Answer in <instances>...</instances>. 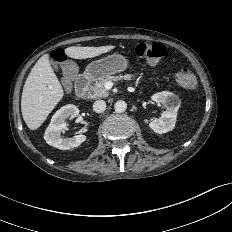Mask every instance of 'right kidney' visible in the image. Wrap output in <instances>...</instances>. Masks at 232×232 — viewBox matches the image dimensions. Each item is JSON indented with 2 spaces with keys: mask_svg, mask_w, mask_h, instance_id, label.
I'll use <instances>...</instances> for the list:
<instances>
[{
  "mask_svg": "<svg viewBox=\"0 0 232 232\" xmlns=\"http://www.w3.org/2000/svg\"><path fill=\"white\" fill-rule=\"evenodd\" d=\"M79 114V109L72 104H68L59 109L51 119L47 127L44 139L46 142L60 150H68L80 146L85 140L86 136L83 134L76 135L72 138H63L61 132L67 129L65 120L67 118H74Z\"/></svg>",
  "mask_w": 232,
  "mask_h": 232,
  "instance_id": "obj_1",
  "label": "right kidney"
}]
</instances>
